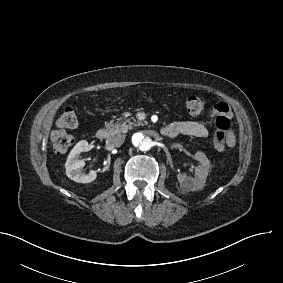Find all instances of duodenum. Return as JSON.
Wrapping results in <instances>:
<instances>
[{
    "label": "duodenum",
    "mask_w": 283,
    "mask_h": 283,
    "mask_svg": "<svg viewBox=\"0 0 283 283\" xmlns=\"http://www.w3.org/2000/svg\"><path fill=\"white\" fill-rule=\"evenodd\" d=\"M160 134L163 136H168L170 137V132L169 130L164 127L160 130ZM110 136V131L105 128V127H101L96 131V138L99 140H105Z\"/></svg>",
    "instance_id": "duodenum-1"
}]
</instances>
